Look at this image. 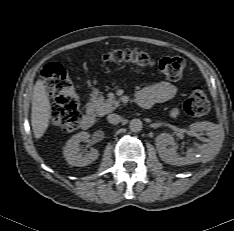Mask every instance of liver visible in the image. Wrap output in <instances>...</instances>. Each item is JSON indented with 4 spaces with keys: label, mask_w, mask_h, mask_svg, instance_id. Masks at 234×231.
<instances>
[{
    "label": "liver",
    "mask_w": 234,
    "mask_h": 231,
    "mask_svg": "<svg viewBox=\"0 0 234 231\" xmlns=\"http://www.w3.org/2000/svg\"><path fill=\"white\" fill-rule=\"evenodd\" d=\"M51 104L42 80H38L33 88L31 123L34 136L40 139L49 126Z\"/></svg>",
    "instance_id": "liver-1"
}]
</instances>
